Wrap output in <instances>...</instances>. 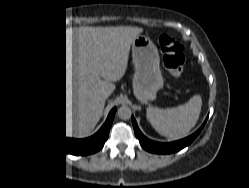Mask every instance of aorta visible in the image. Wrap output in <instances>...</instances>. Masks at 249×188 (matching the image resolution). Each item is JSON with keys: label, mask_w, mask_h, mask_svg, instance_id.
I'll use <instances>...</instances> for the list:
<instances>
[{"label": "aorta", "mask_w": 249, "mask_h": 188, "mask_svg": "<svg viewBox=\"0 0 249 188\" xmlns=\"http://www.w3.org/2000/svg\"><path fill=\"white\" fill-rule=\"evenodd\" d=\"M117 116L122 120H127L131 117V109L128 106H121L117 110Z\"/></svg>", "instance_id": "obj_1"}]
</instances>
